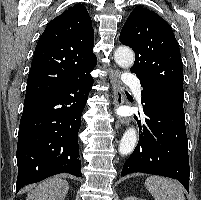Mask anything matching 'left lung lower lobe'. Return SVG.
I'll list each match as a JSON object with an SVG mask.
<instances>
[{
	"instance_id": "1",
	"label": "left lung lower lobe",
	"mask_w": 201,
	"mask_h": 200,
	"mask_svg": "<svg viewBox=\"0 0 201 200\" xmlns=\"http://www.w3.org/2000/svg\"><path fill=\"white\" fill-rule=\"evenodd\" d=\"M145 125L139 141L125 162L121 176L142 172L179 180L189 192V157L183 110V85L143 87ZM140 124V123H139Z\"/></svg>"
}]
</instances>
